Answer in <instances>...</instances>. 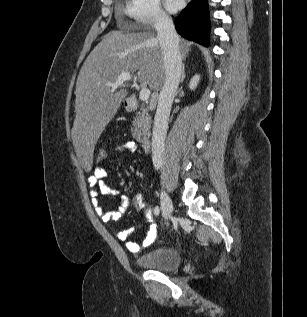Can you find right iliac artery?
<instances>
[{
  "label": "right iliac artery",
  "instance_id": "82829eb1",
  "mask_svg": "<svg viewBox=\"0 0 307 317\" xmlns=\"http://www.w3.org/2000/svg\"><path fill=\"white\" fill-rule=\"evenodd\" d=\"M160 213V209H159V207L157 206V207H155V209H154V214L155 215H158Z\"/></svg>",
  "mask_w": 307,
  "mask_h": 317
}]
</instances>
